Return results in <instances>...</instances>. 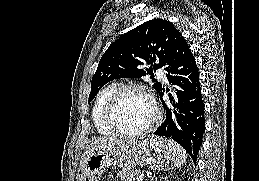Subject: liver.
Segmentation results:
<instances>
[{
  "mask_svg": "<svg viewBox=\"0 0 259 181\" xmlns=\"http://www.w3.org/2000/svg\"><path fill=\"white\" fill-rule=\"evenodd\" d=\"M135 141H119L116 139H107V138H100L92 142L89 146V149H113V148H125L126 146L134 143Z\"/></svg>",
  "mask_w": 259,
  "mask_h": 181,
  "instance_id": "obj_1",
  "label": "liver"
}]
</instances>
